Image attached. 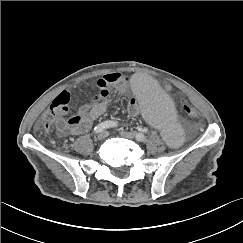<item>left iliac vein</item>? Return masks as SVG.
Segmentation results:
<instances>
[{"label":"left iliac vein","mask_w":243,"mask_h":243,"mask_svg":"<svg viewBox=\"0 0 243 243\" xmlns=\"http://www.w3.org/2000/svg\"><path fill=\"white\" fill-rule=\"evenodd\" d=\"M120 135H122L124 137H127V138H134V137H136L134 132H128V131H124V130L120 131Z\"/></svg>","instance_id":"1"}]
</instances>
